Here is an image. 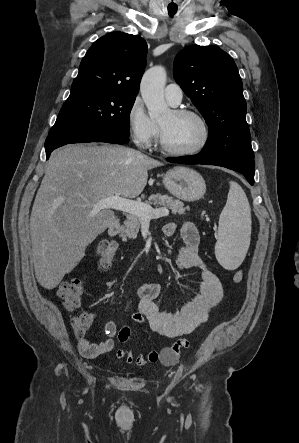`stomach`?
Returning <instances> with one entry per match:
<instances>
[{
    "mask_svg": "<svg viewBox=\"0 0 299 443\" xmlns=\"http://www.w3.org/2000/svg\"><path fill=\"white\" fill-rule=\"evenodd\" d=\"M165 188L175 197L188 202L202 198L206 192L203 177L195 170L178 166L163 177Z\"/></svg>",
    "mask_w": 299,
    "mask_h": 443,
    "instance_id": "stomach-1",
    "label": "stomach"
}]
</instances>
